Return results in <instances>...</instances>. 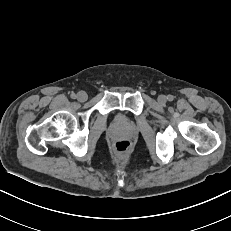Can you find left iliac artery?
Returning <instances> with one entry per match:
<instances>
[{"label": "left iliac artery", "mask_w": 231, "mask_h": 231, "mask_svg": "<svg viewBox=\"0 0 231 231\" xmlns=\"http://www.w3.org/2000/svg\"><path fill=\"white\" fill-rule=\"evenodd\" d=\"M167 99H168L169 101H172V100L174 99V97H173L172 95H168Z\"/></svg>", "instance_id": "obj_1"}]
</instances>
